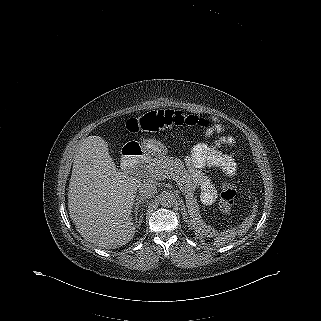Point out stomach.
<instances>
[{
  "instance_id": "1",
  "label": "stomach",
  "mask_w": 321,
  "mask_h": 321,
  "mask_svg": "<svg viewBox=\"0 0 321 321\" xmlns=\"http://www.w3.org/2000/svg\"><path fill=\"white\" fill-rule=\"evenodd\" d=\"M139 145L142 151L147 155H161L166 152L163 144L153 139H145L139 142Z\"/></svg>"
}]
</instances>
